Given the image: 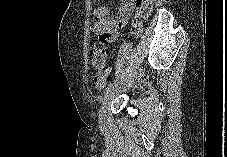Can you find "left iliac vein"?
<instances>
[{"mask_svg":"<svg viewBox=\"0 0 227 157\" xmlns=\"http://www.w3.org/2000/svg\"><path fill=\"white\" fill-rule=\"evenodd\" d=\"M141 72V69L133 75V77L127 81L126 83H124L122 86H115L113 89H111L110 91H107L102 99V106L99 110V120L103 121L106 115V109L109 105V103L111 102V100L119 94V92L121 91H125L127 89H129L134 83L135 81L138 79L139 74Z\"/></svg>","mask_w":227,"mask_h":157,"instance_id":"4c4485c4","label":"left iliac vein"}]
</instances>
